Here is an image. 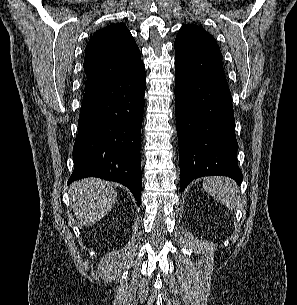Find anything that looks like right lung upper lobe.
I'll list each match as a JSON object with an SVG mask.
<instances>
[{"label": "right lung upper lobe", "mask_w": 297, "mask_h": 305, "mask_svg": "<svg viewBox=\"0 0 297 305\" xmlns=\"http://www.w3.org/2000/svg\"><path fill=\"white\" fill-rule=\"evenodd\" d=\"M142 63L139 48L124 24H112L98 30L86 46L85 91L121 78Z\"/></svg>", "instance_id": "obj_1"}]
</instances>
